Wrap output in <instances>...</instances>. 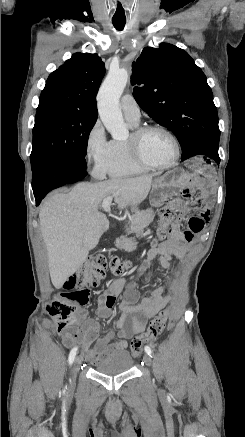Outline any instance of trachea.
I'll use <instances>...</instances> for the list:
<instances>
[{
    "label": "trachea",
    "mask_w": 245,
    "mask_h": 437,
    "mask_svg": "<svg viewBox=\"0 0 245 437\" xmlns=\"http://www.w3.org/2000/svg\"><path fill=\"white\" fill-rule=\"evenodd\" d=\"M126 22L123 21H113V25L116 28V30H123L125 27Z\"/></svg>",
    "instance_id": "3493384b"
}]
</instances>
